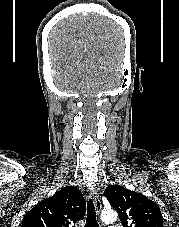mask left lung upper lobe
I'll use <instances>...</instances> for the list:
<instances>
[{
    "label": "left lung upper lobe",
    "mask_w": 179,
    "mask_h": 227,
    "mask_svg": "<svg viewBox=\"0 0 179 227\" xmlns=\"http://www.w3.org/2000/svg\"><path fill=\"white\" fill-rule=\"evenodd\" d=\"M104 196L118 211L123 227H163L159 206L144 195L111 185L105 189Z\"/></svg>",
    "instance_id": "left-lung-upper-lobe-1"
}]
</instances>
